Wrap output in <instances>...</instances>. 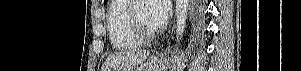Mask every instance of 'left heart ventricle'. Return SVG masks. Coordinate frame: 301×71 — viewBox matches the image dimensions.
I'll use <instances>...</instances> for the list:
<instances>
[{"instance_id":"left-heart-ventricle-1","label":"left heart ventricle","mask_w":301,"mask_h":71,"mask_svg":"<svg viewBox=\"0 0 301 71\" xmlns=\"http://www.w3.org/2000/svg\"><path fill=\"white\" fill-rule=\"evenodd\" d=\"M137 17L148 30H155L156 25L152 17L151 6L148 1H141L137 5Z\"/></svg>"}]
</instances>
